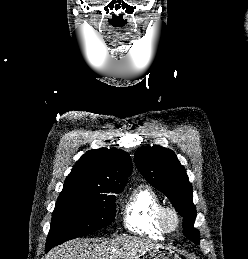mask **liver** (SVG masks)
Masks as SVG:
<instances>
[{"label": "liver", "instance_id": "6515ba94", "mask_svg": "<svg viewBox=\"0 0 248 259\" xmlns=\"http://www.w3.org/2000/svg\"><path fill=\"white\" fill-rule=\"evenodd\" d=\"M160 246L149 239L121 236L101 243L89 244L88 239H74L54 247L47 259H138L149 249Z\"/></svg>", "mask_w": 248, "mask_h": 259}]
</instances>
